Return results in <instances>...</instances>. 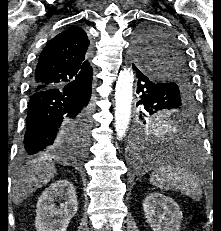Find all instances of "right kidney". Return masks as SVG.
Instances as JSON below:
<instances>
[{"instance_id":"right-kidney-1","label":"right kidney","mask_w":221,"mask_h":231,"mask_svg":"<svg viewBox=\"0 0 221 231\" xmlns=\"http://www.w3.org/2000/svg\"><path fill=\"white\" fill-rule=\"evenodd\" d=\"M60 201L56 207L55 202ZM78 210L76 190L68 180H59L46 188L37 202V231H66Z\"/></svg>"}]
</instances>
